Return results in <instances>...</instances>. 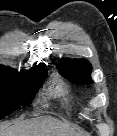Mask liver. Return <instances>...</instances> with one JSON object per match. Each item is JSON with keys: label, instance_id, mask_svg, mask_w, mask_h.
Segmentation results:
<instances>
[{"label": "liver", "instance_id": "liver-1", "mask_svg": "<svg viewBox=\"0 0 117 136\" xmlns=\"http://www.w3.org/2000/svg\"><path fill=\"white\" fill-rule=\"evenodd\" d=\"M0 136H81L71 128L49 119L37 118L1 129Z\"/></svg>", "mask_w": 117, "mask_h": 136}]
</instances>
